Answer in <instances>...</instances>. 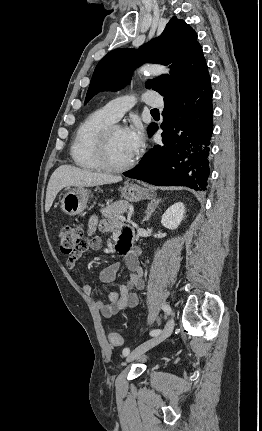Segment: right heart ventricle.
Returning a JSON list of instances; mask_svg holds the SVG:
<instances>
[{
    "mask_svg": "<svg viewBox=\"0 0 262 431\" xmlns=\"http://www.w3.org/2000/svg\"><path fill=\"white\" fill-rule=\"evenodd\" d=\"M115 121L102 108L87 116L77 128L70 155L74 163L85 170H101L97 158V146L102 130Z\"/></svg>",
    "mask_w": 262,
    "mask_h": 431,
    "instance_id": "e07e8e85",
    "label": "right heart ventricle"
}]
</instances>
